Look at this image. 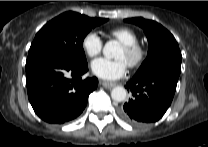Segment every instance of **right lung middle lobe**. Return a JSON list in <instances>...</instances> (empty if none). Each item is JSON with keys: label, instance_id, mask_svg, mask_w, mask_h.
Segmentation results:
<instances>
[{"label": "right lung middle lobe", "instance_id": "1", "mask_svg": "<svg viewBox=\"0 0 208 147\" xmlns=\"http://www.w3.org/2000/svg\"><path fill=\"white\" fill-rule=\"evenodd\" d=\"M107 20L71 11L59 15L36 34L26 63L46 57H63L78 64H87L83 40L92 28Z\"/></svg>", "mask_w": 208, "mask_h": 147}]
</instances>
